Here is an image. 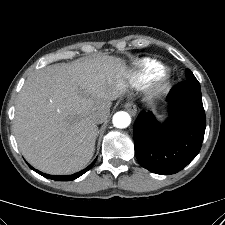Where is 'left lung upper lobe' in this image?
I'll return each instance as SVG.
<instances>
[{"mask_svg": "<svg viewBox=\"0 0 225 225\" xmlns=\"http://www.w3.org/2000/svg\"><path fill=\"white\" fill-rule=\"evenodd\" d=\"M186 78H187L188 81H191V82H194V83H199L190 70L187 71Z\"/></svg>", "mask_w": 225, "mask_h": 225, "instance_id": "1", "label": "left lung upper lobe"}]
</instances>
